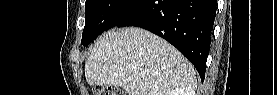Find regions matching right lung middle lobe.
I'll list each match as a JSON object with an SVG mask.
<instances>
[{
	"label": "right lung middle lobe",
	"instance_id": "1",
	"mask_svg": "<svg viewBox=\"0 0 277 95\" xmlns=\"http://www.w3.org/2000/svg\"><path fill=\"white\" fill-rule=\"evenodd\" d=\"M143 0H86L81 44L87 47L98 35L115 27Z\"/></svg>",
	"mask_w": 277,
	"mask_h": 95
}]
</instances>
